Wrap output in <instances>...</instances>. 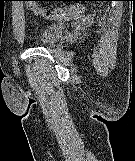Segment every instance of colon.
<instances>
[{
    "instance_id": "obj_1",
    "label": "colon",
    "mask_w": 135,
    "mask_h": 161,
    "mask_svg": "<svg viewBox=\"0 0 135 161\" xmlns=\"http://www.w3.org/2000/svg\"><path fill=\"white\" fill-rule=\"evenodd\" d=\"M26 2V6L34 14L42 16L50 20H71L83 11L80 5H72L69 7L46 9L39 6L35 0H23Z\"/></svg>"
}]
</instances>
